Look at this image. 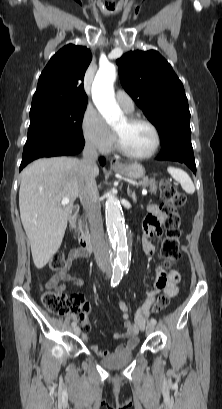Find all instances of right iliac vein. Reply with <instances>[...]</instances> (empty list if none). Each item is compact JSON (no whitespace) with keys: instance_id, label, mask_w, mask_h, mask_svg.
<instances>
[{"instance_id":"63e3f726","label":"right iliac vein","mask_w":222,"mask_h":409,"mask_svg":"<svg viewBox=\"0 0 222 409\" xmlns=\"http://www.w3.org/2000/svg\"><path fill=\"white\" fill-rule=\"evenodd\" d=\"M73 331H74V333H75L76 335H79V334H80V328H79L78 326H75L74 329H73Z\"/></svg>"}]
</instances>
